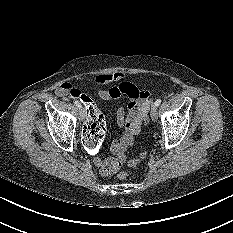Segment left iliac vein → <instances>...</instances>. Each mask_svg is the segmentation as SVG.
<instances>
[{"label": "left iliac vein", "instance_id": "left-iliac-vein-1", "mask_svg": "<svg viewBox=\"0 0 233 233\" xmlns=\"http://www.w3.org/2000/svg\"><path fill=\"white\" fill-rule=\"evenodd\" d=\"M150 115H151V119L153 121L157 120V118H158L157 106H155V105L152 106Z\"/></svg>", "mask_w": 233, "mask_h": 233}]
</instances>
